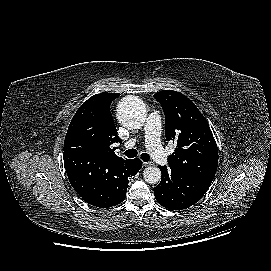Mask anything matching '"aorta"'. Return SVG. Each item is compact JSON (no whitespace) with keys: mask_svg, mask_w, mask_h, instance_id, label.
I'll return each mask as SVG.
<instances>
[{"mask_svg":"<svg viewBox=\"0 0 271 271\" xmlns=\"http://www.w3.org/2000/svg\"><path fill=\"white\" fill-rule=\"evenodd\" d=\"M117 119L130 130L140 129L146 119V108L138 97H124L117 107ZM143 178L149 184H156L161 179V171L156 166H148L143 171Z\"/></svg>","mask_w":271,"mask_h":271,"instance_id":"1","label":"aorta"}]
</instances>
